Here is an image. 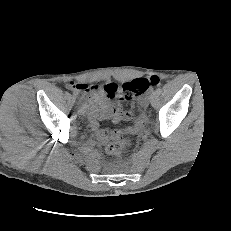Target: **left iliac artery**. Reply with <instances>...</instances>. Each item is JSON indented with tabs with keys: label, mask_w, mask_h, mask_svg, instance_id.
Segmentation results:
<instances>
[{
	"label": "left iliac artery",
	"mask_w": 231,
	"mask_h": 231,
	"mask_svg": "<svg viewBox=\"0 0 231 231\" xmlns=\"http://www.w3.org/2000/svg\"><path fill=\"white\" fill-rule=\"evenodd\" d=\"M152 92H153V88H150L148 93H152Z\"/></svg>",
	"instance_id": "44dca946"
}]
</instances>
